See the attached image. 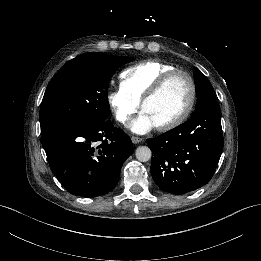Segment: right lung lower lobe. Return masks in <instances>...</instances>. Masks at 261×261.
I'll return each mask as SVG.
<instances>
[{
    "instance_id": "obj_1",
    "label": "right lung lower lobe",
    "mask_w": 261,
    "mask_h": 261,
    "mask_svg": "<svg viewBox=\"0 0 261 261\" xmlns=\"http://www.w3.org/2000/svg\"><path fill=\"white\" fill-rule=\"evenodd\" d=\"M50 168L75 196L93 198L109 193L133 152L128 135L109 120L65 122L41 134Z\"/></svg>"
}]
</instances>
